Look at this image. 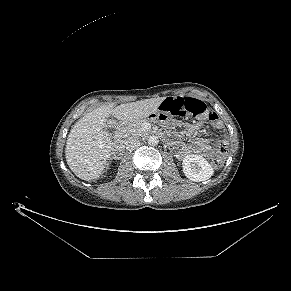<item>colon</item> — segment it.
<instances>
[{
    "mask_svg": "<svg viewBox=\"0 0 291 291\" xmlns=\"http://www.w3.org/2000/svg\"><path fill=\"white\" fill-rule=\"evenodd\" d=\"M161 110L173 116H201L210 120L214 126L220 127L217 114L208 107L204 102L194 98L184 97H169L164 100L161 105ZM218 156L213 161L215 168L222 167L224 156L228 152V144L222 140L217 145Z\"/></svg>",
    "mask_w": 291,
    "mask_h": 291,
    "instance_id": "obj_1",
    "label": "colon"
}]
</instances>
